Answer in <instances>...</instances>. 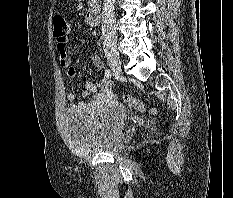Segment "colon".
<instances>
[{
	"label": "colon",
	"mask_w": 233,
	"mask_h": 198,
	"mask_svg": "<svg viewBox=\"0 0 233 198\" xmlns=\"http://www.w3.org/2000/svg\"><path fill=\"white\" fill-rule=\"evenodd\" d=\"M53 33L57 40H64L69 33L68 24L66 20L60 15H57L53 18ZM123 101L127 106L139 111L146 110V106L144 105V103L131 95H125L123 97ZM150 111L154 113L155 109L151 108Z\"/></svg>",
	"instance_id": "colon-1"
}]
</instances>
